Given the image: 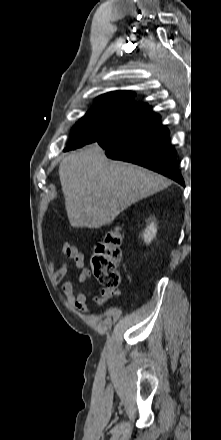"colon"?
<instances>
[{"instance_id": "5ec220e1", "label": "colon", "mask_w": 221, "mask_h": 440, "mask_svg": "<svg viewBox=\"0 0 221 440\" xmlns=\"http://www.w3.org/2000/svg\"><path fill=\"white\" fill-rule=\"evenodd\" d=\"M122 233L120 228L109 230L93 250L90 264L95 279L105 289H117L120 276L117 267L122 259Z\"/></svg>"}]
</instances>
